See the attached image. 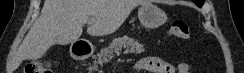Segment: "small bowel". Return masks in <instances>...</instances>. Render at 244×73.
<instances>
[{"label": "small bowel", "mask_w": 244, "mask_h": 73, "mask_svg": "<svg viewBox=\"0 0 244 73\" xmlns=\"http://www.w3.org/2000/svg\"><path fill=\"white\" fill-rule=\"evenodd\" d=\"M133 69L135 73H190L187 63L182 62L174 66L157 57L140 59L133 65Z\"/></svg>", "instance_id": "1"}]
</instances>
